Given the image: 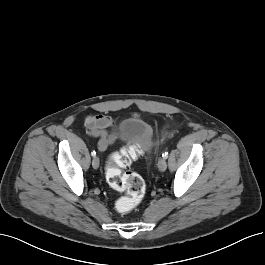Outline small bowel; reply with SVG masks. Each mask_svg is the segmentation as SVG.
Wrapping results in <instances>:
<instances>
[{
  "label": "small bowel",
  "instance_id": "c3829d8e",
  "mask_svg": "<svg viewBox=\"0 0 265 265\" xmlns=\"http://www.w3.org/2000/svg\"><path fill=\"white\" fill-rule=\"evenodd\" d=\"M88 133L99 137L98 148L100 151L107 150L117 140V131L111 117L107 115H89L84 120Z\"/></svg>",
  "mask_w": 265,
  "mask_h": 265
}]
</instances>
